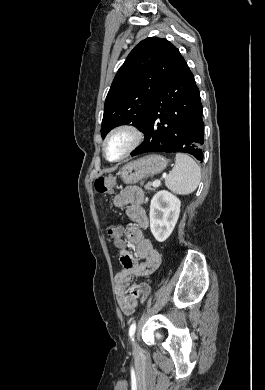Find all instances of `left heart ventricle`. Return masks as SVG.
Masks as SVG:
<instances>
[{"mask_svg":"<svg viewBox=\"0 0 265 390\" xmlns=\"http://www.w3.org/2000/svg\"><path fill=\"white\" fill-rule=\"evenodd\" d=\"M129 137L125 134L114 136L108 143L107 155L110 159H116L125 150L128 145Z\"/></svg>","mask_w":265,"mask_h":390,"instance_id":"1","label":"left heart ventricle"}]
</instances>
